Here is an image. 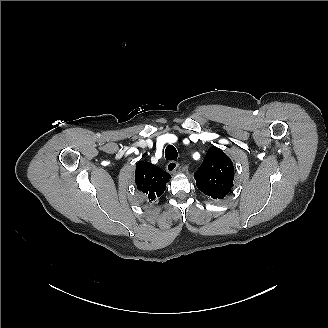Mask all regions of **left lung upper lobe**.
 <instances>
[{"instance_id":"obj_1","label":"left lung upper lobe","mask_w":328,"mask_h":328,"mask_svg":"<svg viewBox=\"0 0 328 328\" xmlns=\"http://www.w3.org/2000/svg\"><path fill=\"white\" fill-rule=\"evenodd\" d=\"M234 166L231 159L219 148L211 147L194 178L197 188L212 197L223 199L233 186Z\"/></svg>"}]
</instances>
